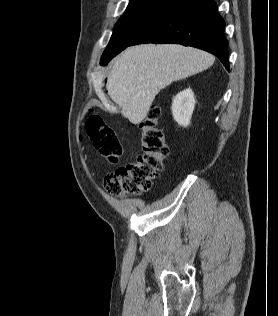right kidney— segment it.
I'll list each match as a JSON object with an SVG mask.
<instances>
[{
	"mask_svg": "<svg viewBox=\"0 0 278 316\" xmlns=\"http://www.w3.org/2000/svg\"><path fill=\"white\" fill-rule=\"evenodd\" d=\"M195 102L194 93L190 88L178 93L173 99L172 115L180 126L187 127L190 124Z\"/></svg>",
	"mask_w": 278,
	"mask_h": 316,
	"instance_id": "ca27d5eb",
	"label": "right kidney"
}]
</instances>
